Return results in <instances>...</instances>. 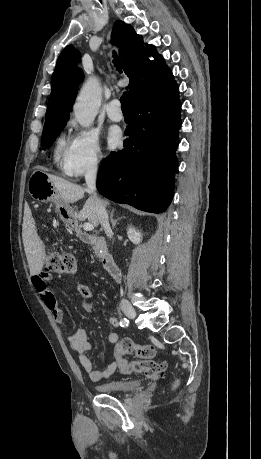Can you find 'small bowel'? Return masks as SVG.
Wrapping results in <instances>:
<instances>
[{"label": "small bowel", "instance_id": "small-bowel-1", "mask_svg": "<svg viewBox=\"0 0 261 459\" xmlns=\"http://www.w3.org/2000/svg\"><path fill=\"white\" fill-rule=\"evenodd\" d=\"M52 279V276L48 272H41L34 276L32 282L35 290L39 294L41 300L44 302L46 307L49 309L52 316L56 321L62 323L64 320V315L59 307L57 300L48 286V282ZM76 289L80 295L89 299L92 297V292L88 286L81 284L79 282L75 283ZM85 308L90 311V305L86 304ZM109 322L114 328L120 327V321L114 317H109ZM119 340V335L115 332H112L108 336V341L110 343H116ZM68 341L71 348L76 351L79 355V362L85 372L89 375L92 381H100L102 379L110 377L118 368V357L115 354L114 360L110 363L105 364L101 369H95L93 367L91 358L88 355V352L91 350V343L89 340L88 333L84 329H78L71 333L68 336Z\"/></svg>", "mask_w": 261, "mask_h": 459}]
</instances>
